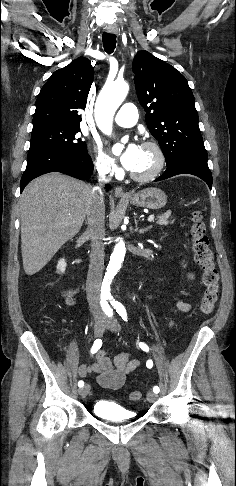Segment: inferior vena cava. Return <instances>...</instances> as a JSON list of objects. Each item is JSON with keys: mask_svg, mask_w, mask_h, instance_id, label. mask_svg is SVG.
I'll list each match as a JSON object with an SVG mask.
<instances>
[{"mask_svg": "<svg viewBox=\"0 0 236 486\" xmlns=\"http://www.w3.org/2000/svg\"><path fill=\"white\" fill-rule=\"evenodd\" d=\"M110 164L102 162L97 165L98 179L100 182H109L111 180ZM88 228L87 235L91 239L90 264L87 275L86 293L87 300L94 315L102 314L100 307V288L102 272L104 269V219L105 205L103 190L95 186L91 191V200L87 212Z\"/></svg>", "mask_w": 236, "mask_h": 486, "instance_id": "602c4592", "label": "inferior vena cava"}]
</instances>
